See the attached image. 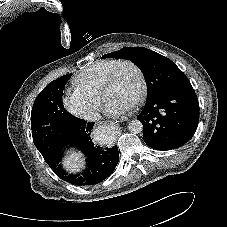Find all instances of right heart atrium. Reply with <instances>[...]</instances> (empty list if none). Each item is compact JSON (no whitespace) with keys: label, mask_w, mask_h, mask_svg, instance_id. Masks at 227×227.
<instances>
[{"label":"right heart atrium","mask_w":227,"mask_h":227,"mask_svg":"<svg viewBox=\"0 0 227 227\" xmlns=\"http://www.w3.org/2000/svg\"><path fill=\"white\" fill-rule=\"evenodd\" d=\"M65 109L82 119L94 120L98 117L100 97L91 96L79 90H67L63 97Z\"/></svg>","instance_id":"d8ad5b80"}]
</instances>
